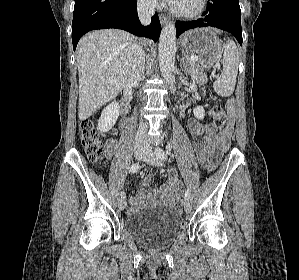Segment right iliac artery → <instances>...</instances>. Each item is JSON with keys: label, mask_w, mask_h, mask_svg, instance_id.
Instances as JSON below:
<instances>
[{"label": "right iliac artery", "mask_w": 299, "mask_h": 280, "mask_svg": "<svg viewBox=\"0 0 299 280\" xmlns=\"http://www.w3.org/2000/svg\"><path fill=\"white\" fill-rule=\"evenodd\" d=\"M139 170H140V165H139V163H134V164H132V165L130 166V168H129V171H130L131 173L138 172ZM121 197H122V198H126V194H125V192H121Z\"/></svg>", "instance_id": "obj_1"}]
</instances>
